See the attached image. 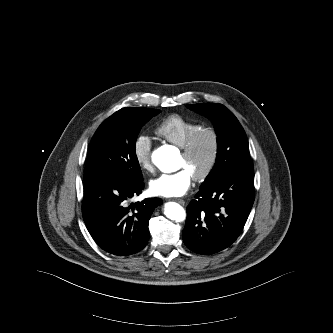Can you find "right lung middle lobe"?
<instances>
[{
    "label": "right lung middle lobe",
    "instance_id": "dd1d6c3e",
    "mask_svg": "<svg viewBox=\"0 0 333 333\" xmlns=\"http://www.w3.org/2000/svg\"><path fill=\"white\" fill-rule=\"evenodd\" d=\"M160 110L123 108L106 119L89 145L85 177L143 181L135 152L142 126Z\"/></svg>",
    "mask_w": 333,
    "mask_h": 333
}]
</instances>
